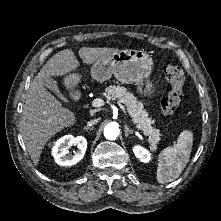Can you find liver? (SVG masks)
<instances>
[{"label":"liver","instance_id":"liver-1","mask_svg":"<svg viewBox=\"0 0 221 221\" xmlns=\"http://www.w3.org/2000/svg\"><path fill=\"white\" fill-rule=\"evenodd\" d=\"M118 51L115 48L82 47L78 54L83 63L89 65ZM79 65L72 50H62L46 62L30 85L23 106L20 131L35 165L40 161L42 150L48 140L76 123L74 112L62 107L60 101L45 88L43 79L64 76L75 71Z\"/></svg>","mask_w":221,"mask_h":221}]
</instances>
